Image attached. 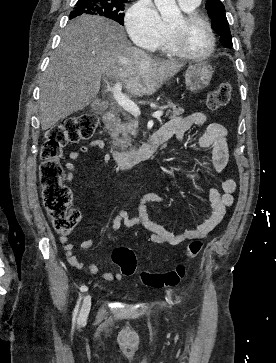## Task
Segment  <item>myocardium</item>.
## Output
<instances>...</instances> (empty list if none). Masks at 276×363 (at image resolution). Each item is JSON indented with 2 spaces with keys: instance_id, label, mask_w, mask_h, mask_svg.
<instances>
[{
  "instance_id": "myocardium-1",
  "label": "myocardium",
  "mask_w": 276,
  "mask_h": 363,
  "mask_svg": "<svg viewBox=\"0 0 276 363\" xmlns=\"http://www.w3.org/2000/svg\"><path fill=\"white\" fill-rule=\"evenodd\" d=\"M196 22H201L205 25L210 37V47L205 53L195 54L190 52L182 42L181 30L179 28H175L172 26L170 27V39L172 47L177 52L178 55L190 60L203 61L213 55L216 49V38L210 21L203 14L191 10L183 15L184 26H189Z\"/></svg>"
}]
</instances>
